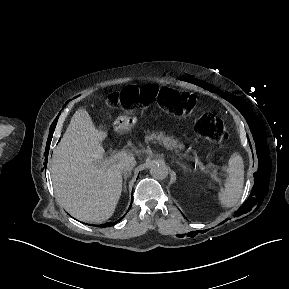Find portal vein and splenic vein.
<instances>
[{
    "label": "portal vein and splenic vein",
    "mask_w": 289,
    "mask_h": 289,
    "mask_svg": "<svg viewBox=\"0 0 289 289\" xmlns=\"http://www.w3.org/2000/svg\"><path fill=\"white\" fill-rule=\"evenodd\" d=\"M125 152H117L113 153L108 159H106L103 163L104 164H110L113 162H116L124 157H126ZM195 164L199 167V169L206 175H209V171L206 169V167L203 165V163L198 159L194 158Z\"/></svg>",
    "instance_id": "obj_1"
}]
</instances>
